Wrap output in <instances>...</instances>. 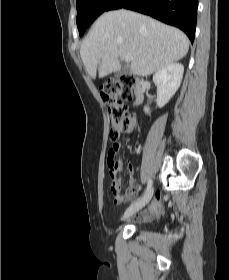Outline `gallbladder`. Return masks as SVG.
I'll list each match as a JSON object with an SVG mask.
<instances>
[{"label": "gallbladder", "instance_id": "1", "mask_svg": "<svg viewBox=\"0 0 229 280\" xmlns=\"http://www.w3.org/2000/svg\"><path fill=\"white\" fill-rule=\"evenodd\" d=\"M128 73V70L127 69H122V70H120L119 72H117L116 73V77H120V76H122V75H124V74H127Z\"/></svg>", "mask_w": 229, "mask_h": 280}]
</instances>
